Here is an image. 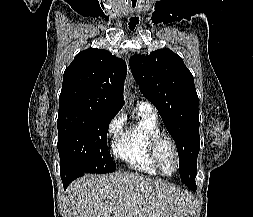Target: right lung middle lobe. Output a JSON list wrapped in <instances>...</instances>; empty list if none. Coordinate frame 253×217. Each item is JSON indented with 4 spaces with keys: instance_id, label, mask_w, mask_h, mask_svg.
Returning <instances> with one entry per match:
<instances>
[{
    "instance_id": "right-lung-middle-lobe-1",
    "label": "right lung middle lobe",
    "mask_w": 253,
    "mask_h": 217,
    "mask_svg": "<svg viewBox=\"0 0 253 217\" xmlns=\"http://www.w3.org/2000/svg\"><path fill=\"white\" fill-rule=\"evenodd\" d=\"M115 114L100 110L59 109L58 151L60 171L66 174L109 173L116 169L107 149V130Z\"/></svg>"
}]
</instances>
